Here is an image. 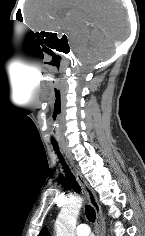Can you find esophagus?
<instances>
[{
    "instance_id": "1",
    "label": "esophagus",
    "mask_w": 145,
    "mask_h": 236,
    "mask_svg": "<svg viewBox=\"0 0 145 236\" xmlns=\"http://www.w3.org/2000/svg\"><path fill=\"white\" fill-rule=\"evenodd\" d=\"M63 149L65 151V154L68 158V161L70 163L72 171H73L79 185L81 186L83 191L86 193L91 206L95 210V214H96V224H95L96 236H104V219H103V216H102L101 206H100V204L97 200L96 194L93 191V189L89 186L87 181L84 179V177L81 174V172L79 171V169L75 166L74 161L71 158L70 154L66 151L65 146H63Z\"/></svg>"
}]
</instances>
